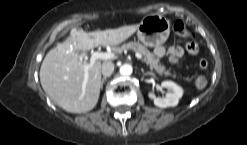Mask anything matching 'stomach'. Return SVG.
Wrapping results in <instances>:
<instances>
[{
    "instance_id": "stomach-1",
    "label": "stomach",
    "mask_w": 247,
    "mask_h": 145,
    "mask_svg": "<svg viewBox=\"0 0 247 145\" xmlns=\"http://www.w3.org/2000/svg\"><path fill=\"white\" fill-rule=\"evenodd\" d=\"M170 34V21L158 14L145 16L137 29L138 40L148 47L163 44Z\"/></svg>"
}]
</instances>
